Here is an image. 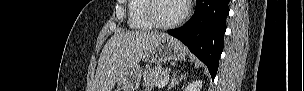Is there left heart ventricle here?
Listing matches in <instances>:
<instances>
[{"label":"left heart ventricle","mask_w":304,"mask_h":91,"mask_svg":"<svg viewBox=\"0 0 304 91\" xmlns=\"http://www.w3.org/2000/svg\"><path fill=\"white\" fill-rule=\"evenodd\" d=\"M183 12V4L180 0H159L155 3L154 14L161 22H172Z\"/></svg>","instance_id":"obj_1"}]
</instances>
